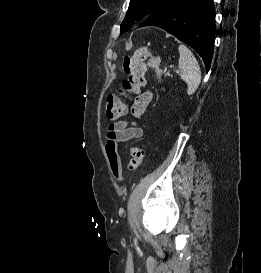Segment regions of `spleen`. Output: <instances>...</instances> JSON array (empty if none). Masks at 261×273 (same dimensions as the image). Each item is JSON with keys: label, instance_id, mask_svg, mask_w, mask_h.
<instances>
[{"label": "spleen", "instance_id": "spleen-1", "mask_svg": "<svg viewBox=\"0 0 261 273\" xmlns=\"http://www.w3.org/2000/svg\"><path fill=\"white\" fill-rule=\"evenodd\" d=\"M179 50V69L181 79L187 84V94L192 95L201 82V70L195 56L185 45L181 44Z\"/></svg>", "mask_w": 261, "mask_h": 273}]
</instances>
